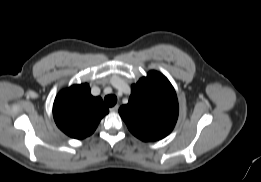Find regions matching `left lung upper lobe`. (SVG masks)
I'll use <instances>...</instances> for the list:
<instances>
[{
    "label": "left lung upper lobe",
    "instance_id": "5c2ea615",
    "mask_svg": "<svg viewBox=\"0 0 261 182\" xmlns=\"http://www.w3.org/2000/svg\"><path fill=\"white\" fill-rule=\"evenodd\" d=\"M130 132L142 141L166 137L178 117V100L169 80L157 71H150L132 85L129 102L119 109Z\"/></svg>",
    "mask_w": 261,
    "mask_h": 182
}]
</instances>
